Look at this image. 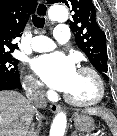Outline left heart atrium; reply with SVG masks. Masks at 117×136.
Instances as JSON below:
<instances>
[{
    "instance_id": "39dd6f15",
    "label": "left heart atrium",
    "mask_w": 117,
    "mask_h": 136,
    "mask_svg": "<svg viewBox=\"0 0 117 136\" xmlns=\"http://www.w3.org/2000/svg\"><path fill=\"white\" fill-rule=\"evenodd\" d=\"M33 67L49 87L65 93L77 73L74 60L60 52L40 56L34 61Z\"/></svg>"
}]
</instances>
